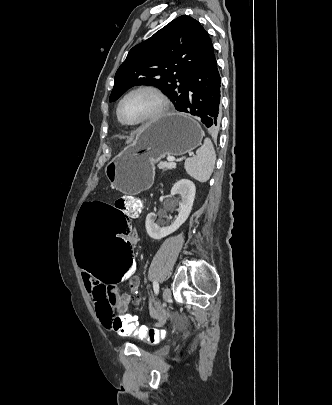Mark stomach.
Instances as JSON below:
<instances>
[{"label": "stomach", "instance_id": "1", "mask_svg": "<svg viewBox=\"0 0 332 405\" xmlns=\"http://www.w3.org/2000/svg\"><path fill=\"white\" fill-rule=\"evenodd\" d=\"M133 144L105 167L111 185L125 194H137L152 184L154 164L168 155H183L197 148L204 132L184 113H168L144 125Z\"/></svg>", "mask_w": 332, "mask_h": 405}]
</instances>
